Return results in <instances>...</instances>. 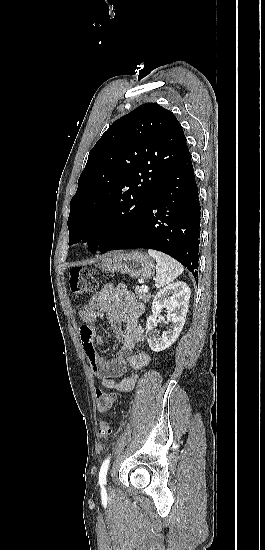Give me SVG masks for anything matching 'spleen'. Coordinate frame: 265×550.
I'll return each instance as SVG.
<instances>
[{
    "instance_id": "spleen-1",
    "label": "spleen",
    "mask_w": 265,
    "mask_h": 550,
    "mask_svg": "<svg viewBox=\"0 0 265 550\" xmlns=\"http://www.w3.org/2000/svg\"><path fill=\"white\" fill-rule=\"evenodd\" d=\"M148 254L157 262L156 287H164L183 273L182 265L170 256L152 249L148 250Z\"/></svg>"
}]
</instances>
